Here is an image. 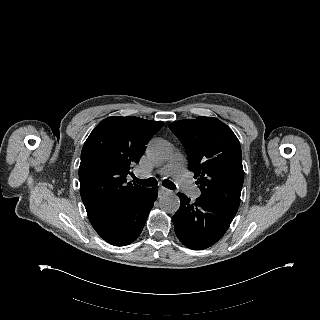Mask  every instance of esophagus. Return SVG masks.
Returning <instances> with one entry per match:
<instances>
[{
	"instance_id": "obj_1",
	"label": "esophagus",
	"mask_w": 320,
	"mask_h": 320,
	"mask_svg": "<svg viewBox=\"0 0 320 320\" xmlns=\"http://www.w3.org/2000/svg\"><path fill=\"white\" fill-rule=\"evenodd\" d=\"M171 192V190H169V189H167V188H165V187H159L158 188V194L159 195H163V194H167V193H170Z\"/></svg>"
}]
</instances>
